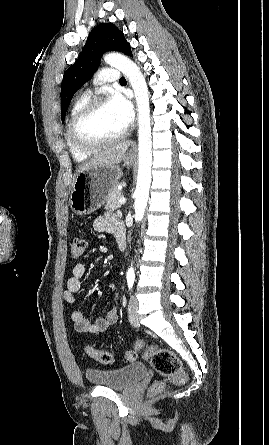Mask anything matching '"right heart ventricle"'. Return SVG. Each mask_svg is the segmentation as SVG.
I'll use <instances>...</instances> for the list:
<instances>
[{
	"label": "right heart ventricle",
	"instance_id": "1",
	"mask_svg": "<svg viewBox=\"0 0 269 445\" xmlns=\"http://www.w3.org/2000/svg\"><path fill=\"white\" fill-rule=\"evenodd\" d=\"M89 100V96L84 94L81 95L80 97H78L75 102L73 103L71 109H70V113H69V117H68V122H67V126H66V142H67V146L69 148V151L72 155V157L78 161V162H82L85 161L86 159H88L91 155V153L89 152H82L80 150H78L77 148H75L73 146V144L71 143L70 139H69V124L71 119L73 118V116L75 115V113Z\"/></svg>",
	"mask_w": 269,
	"mask_h": 445
}]
</instances>
